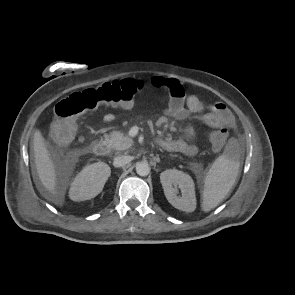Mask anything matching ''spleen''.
<instances>
[{
	"label": "spleen",
	"mask_w": 295,
	"mask_h": 295,
	"mask_svg": "<svg viewBox=\"0 0 295 295\" xmlns=\"http://www.w3.org/2000/svg\"><path fill=\"white\" fill-rule=\"evenodd\" d=\"M233 140H230L224 153L219 156L206 174L203 201L204 212L215 208L232 188L239 172L240 163L234 156Z\"/></svg>",
	"instance_id": "3e777b00"
}]
</instances>
